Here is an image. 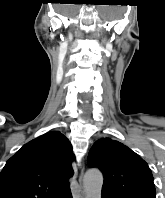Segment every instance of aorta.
I'll use <instances>...</instances> for the list:
<instances>
[{
    "label": "aorta",
    "mask_w": 165,
    "mask_h": 198,
    "mask_svg": "<svg viewBox=\"0 0 165 198\" xmlns=\"http://www.w3.org/2000/svg\"><path fill=\"white\" fill-rule=\"evenodd\" d=\"M86 198H101L103 175L98 169H89L83 179Z\"/></svg>",
    "instance_id": "obj_1"
}]
</instances>
